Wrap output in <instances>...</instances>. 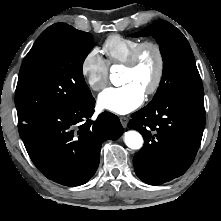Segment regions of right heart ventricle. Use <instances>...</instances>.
I'll list each match as a JSON object with an SVG mask.
<instances>
[{"mask_svg": "<svg viewBox=\"0 0 221 221\" xmlns=\"http://www.w3.org/2000/svg\"><path fill=\"white\" fill-rule=\"evenodd\" d=\"M141 42L140 39L112 34L103 43V51L109 65L124 64L132 50Z\"/></svg>", "mask_w": 221, "mask_h": 221, "instance_id": "obj_1", "label": "right heart ventricle"}]
</instances>
